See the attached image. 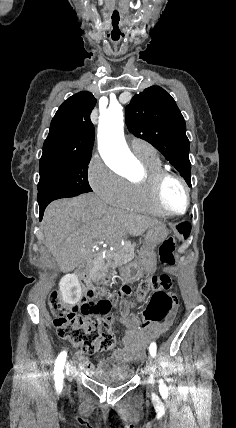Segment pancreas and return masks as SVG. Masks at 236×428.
I'll return each instance as SVG.
<instances>
[{
    "label": "pancreas",
    "instance_id": "cf45deb5",
    "mask_svg": "<svg viewBox=\"0 0 236 428\" xmlns=\"http://www.w3.org/2000/svg\"><path fill=\"white\" fill-rule=\"evenodd\" d=\"M135 246L136 244H132V242H124V246L122 244H114L113 252L106 254V258H98V264H96L98 278L105 280V278H108L107 272H109L110 268H113V266H122L126 262H132L135 258Z\"/></svg>",
    "mask_w": 236,
    "mask_h": 428
}]
</instances>
